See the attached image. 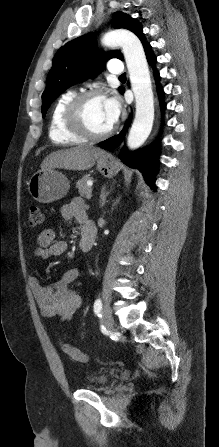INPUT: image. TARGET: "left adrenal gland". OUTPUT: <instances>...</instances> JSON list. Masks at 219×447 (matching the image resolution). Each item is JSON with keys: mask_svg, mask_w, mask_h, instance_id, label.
I'll return each mask as SVG.
<instances>
[{"mask_svg": "<svg viewBox=\"0 0 219 447\" xmlns=\"http://www.w3.org/2000/svg\"><path fill=\"white\" fill-rule=\"evenodd\" d=\"M109 192H106L105 187L102 188L101 190V195H100V207L104 206L105 202H106V197L108 196Z\"/></svg>", "mask_w": 219, "mask_h": 447, "instance_id": "a2214340", "label": "left adrenal gland"}]
</instances>
